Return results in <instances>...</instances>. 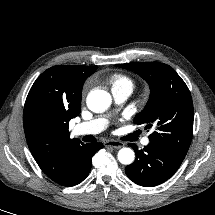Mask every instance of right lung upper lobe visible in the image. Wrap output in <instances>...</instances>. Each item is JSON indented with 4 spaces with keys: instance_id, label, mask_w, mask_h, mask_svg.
Returning <instances> with one entry per match:
<instances>
[{
    "instance_id": "cb5924a9",
    "label": "right lung upper lobe",
    "mask_w": 215,
    "mask_h": 215,
    "mask_svg": "<svg viewBox=\"0 0 215 215\" xmlns=\"http://www.w3.org/2000/svg\"><path fill=\"white\" fill-rule=\"evenodd\" d=\"M96 69L51 67L38 77L26 98L23 125L27 144L41 170L56 183L66 178L71 154L83 144L70 138L68 124L79 115L84 80Z\"/></svg>"
}]
</instances>
